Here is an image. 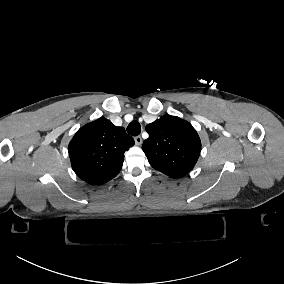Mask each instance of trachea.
<instances>
[{
    "label": "trachea",
    "instance_id": "3493384b",
    "mask_svg": "<svg viewBox=\"0 0 284 284\" xmlns=\"http://www.w3.org/2000/svg\"><path fill=\"white\" fill-rule=\"evenodd\" d=\"M127 132L132 135V136H137L141 133V125L139 124L138 121H132L128 126H127Z\"/></svg>",
    "mask_w": 284,
    "mask_h": 284
}]
</instances>
